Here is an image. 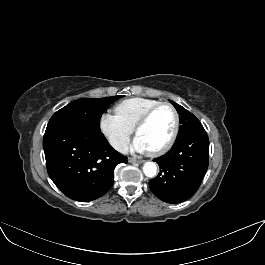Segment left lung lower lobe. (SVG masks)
<instances>
[{
  "instance_id": "0a47b994",
  "label": "left lung lower lobe",
  "mask_w": 265,
  "mask_h": 265,
  "mask_svg": "<svg viewBox=\"0 0 265 265\" xmlns=\"http://www.w3.org/2000/svg\"><path fill=\"white\" fill-rule=\"evenodd\" d=\"M158 176L149 181L153 194L167 203H180L199 188L209 163V138L204 129L177 139L172 148L156 159Z\"/></svg>"
}]
</instances>
